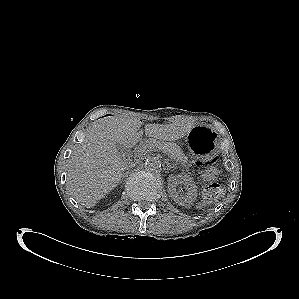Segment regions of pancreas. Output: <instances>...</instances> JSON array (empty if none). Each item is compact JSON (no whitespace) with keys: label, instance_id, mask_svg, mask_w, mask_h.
Instances as JSON below:
<instances>
[{"label":"pancreas","instance_id":"obj_1","mask_svg":"<svg viewBox=\"0 0 299 299\" xmlns=\"http://www.w3.org/2000/svg\"><path fill=\"white\" fill-rule=\"evenodd\" d=\"M144 147L148 149H159L169 155L171 159H174L177 163L185 165L187 157L181 150V148L175 143H169L157 140H148L144 143Z\"/></svg>","mask_w":299,"mask_h":299}]
</instances>
